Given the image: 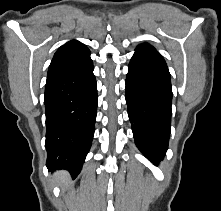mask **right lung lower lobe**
Returning a JSON list of instances; mask_svg holds the SVG:
<instances>
[{"instance_id":"obj_1","label":"right lung lower lobe","mask_w":221,"mask_h":211,"mask_svg":"<svg viewBox=\"0 0 221 211\" xmlns=\"http://www.w3.org/2000/svg\"><path fill=\"white\" fill-rule=\"evenodd\" d=\"M90 65L48 79L45 86L46 166L66 169L75 178L81 171L93 135L97 110V87Z\"/></svg>"}]
</instances>
